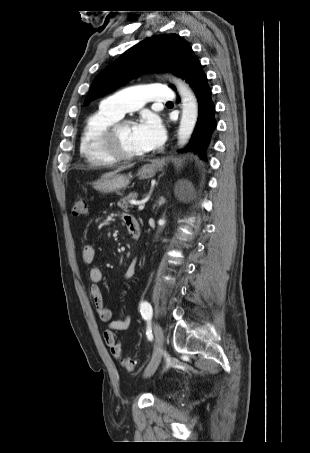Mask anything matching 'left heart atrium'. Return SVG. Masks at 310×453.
I'll list each match as a JSON object with an SVG mask.
<instances>
[{
    "mask_svg": "<svg viewBox=\"0 0 310 453\" xmlns=\"http://www.w3.org/2000/svg\"><path fill=\"white\" fill-rule=\"evenodd\" d=\"M134 135L145 151L158 148L165 139L161 120L155 115H146L134 125Z\"/></svg>",
    "mask_w": 310,
    "mask_h": 453,
    "instance_id": "1",
    "label": "left heart atrium"
}]
</instances>
